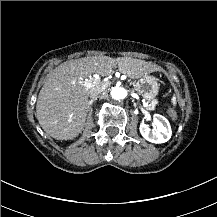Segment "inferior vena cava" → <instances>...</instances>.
Listing matches in <instances>:
<instances>
[{
  "instance_id": "inferior-vena-cava-1",
  "label": "inferior vena cava",
  "mask_w": 217,
  "mask_h": 217,
  "mask_svg": "<svg viewBox=\"0 0 217 217\" xmlns=\"http://www.w3.org/2000/svg\"><path fill=\"white\" fill-rule=\"evenodd\" d=\"M107 88L105 83H100L89 90L90 97L96 98L101 92H103Z\"/></svg>"
}]
</instances>
